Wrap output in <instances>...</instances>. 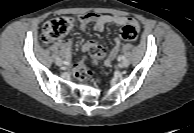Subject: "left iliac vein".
<instances>
[{"label": "left iliac vein", "mask_w": 194, "mask_h": 133, "mask_svg": "<svg viewBox=\"0 0 194 133\" xmlns=\"http://www.w3.org/2000/svg\"><path fill=\"white\" fill-rule=\"evenodd\" d=\"M120 66L123 68H126L129 66V60L128 59H124L121 61Z\"/></svg>", "instance_id": "4c4485c4"}]
</instances>
